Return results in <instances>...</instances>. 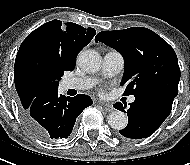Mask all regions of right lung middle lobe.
I'll list each match as a JSON object with an SVG mask.
<instances>
[{
	"label": "right lung middle lobe",
	"mask_w": 190,
	"mask_h": 165,
	"mask_svg": "<svg viewBox=\"0 0 190 165\" xmlns=\"http://www.w3.org/2000/svg\"><path fill=\"white\" fill-rule=\"evenodd\" d=\"M64 71L57 66L41 65L36 73V82L39 91L42 93L57 89Z\"/></svg>",
	"instance_id": "right-lung-middle-lobe-1"
}]
</instances>
